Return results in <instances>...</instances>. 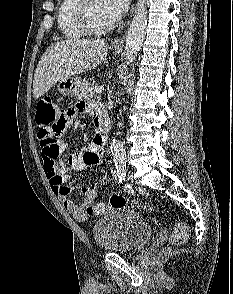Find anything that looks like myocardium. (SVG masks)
I'll return each mask as SVG.
<instances>
[{
    "instance_id": "f54148a6",
    "label": "myocardium",
    "mask_w": 233,
    "mask_h": 294,
    "mask_svg": "<svg viewBox=\"0 0 233 294\" xmlns=\"http://www.w3.org/2000/svg\"><path fill=\"white\" fill-rule=\"evenodd\" d=\"M90 7L91 0H79L76 12L78 23L88 35H103L115 27L117 23L115 20L105 26H96L92 20Z\"/></svg>"
}]
</instances>
